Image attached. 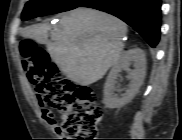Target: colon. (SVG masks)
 Returning a JSON list of instances; mask_svg holds the SVG:
<instances>
[{
  "instance_id": "5ec220e1",
  "label": "colon",
  "mask_w": 182,
  "mask_h": 140,
  "mask_svg": "<svg viewBox=\"0 0 182 140\" xmlns=\"http://www.w3.org/2000/svg\"><path fill=\"white\" fill-rule=\"evenodd\" d=\"M22 66L39 101L62 114V130L77 139L95 140L102 108L95 91L70 81L48 53L31 40L20 43Z\"/></svg>"
}]
</instances>
